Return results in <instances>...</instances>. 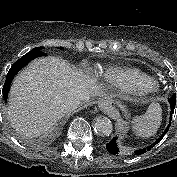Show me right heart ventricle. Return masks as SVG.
I'll list each match as a JSON object with an SVG mask.
<instances>
[{"mask_svg": "<svg viewBox=\"0 0 177 177\" xmlns=\"http://www.w3.org/2000/svg\"><path fill=\"white\" fill-rule=\"evenodd\" d=\"M98 77L113 84L124 85L127 84L126 80L128 76L134 75L137 77L150 78L142 71L136 68H129L117 65H111L107 67H99L96 71Z\"/></svg>", "mask_w": 177, "mask_h": 177, "instance_id": "right-heart-ventricle-1", "label": "right heart ventricle"}]
</instances>
